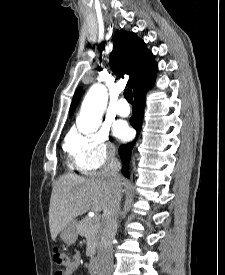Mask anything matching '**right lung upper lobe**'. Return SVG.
Here are the masks:
<instances>
[{
  "mask_svg": "<svg viewBox=\"0 0 225 275\" xmlns=\"http://www.w3.org/2000/svg\"><path fill=\"white\" fill-rule=\"evenodd\" d=\"M113 44L114 48L109 57L110 67L118 75H129L127 86L132 87L134 89L133 94H136L157 72L153 54L146 48L143 40L134 33L124 30L115 34ZM81 93L82 88L80 87L74 94L70 115L73 114Z\"/></svg>",
  "mask_w": 225,
  "mask_h": 275,
  "instance_id": "cb5924a9",
  "label": "right lung upper lobe"
}]
</instances>
